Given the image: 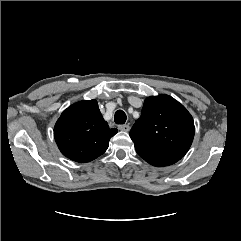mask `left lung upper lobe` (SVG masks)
<instances>
[{
	"label": "left lung upper lobe",
	"mask_w": 241,
	"mask_h": 241,
	"mask_svg": "<svg viewBox=\"0 0 241 241\" xmlns=\"http://www.w3.org/2000/svg\"><path fill=\"white\" fill-rule=\"evenodd\" d=\"M194 121L186 108L168 95L150 96L130 131L136 150L183 157L194 138Z\"/></svg>",
	"instance_id": "1"
}]
</instances>
